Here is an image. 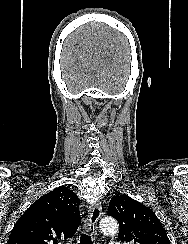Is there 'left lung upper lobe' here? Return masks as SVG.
I'll return each instance as SVG.
<instances>
[{
	"mask_svg": "<svg viewBox=\"0 0 188 244\" xmlns=\"http://www.w3.org/2000/svg\"><path fill=\"white\" fill-rule=\"evenodd\" d=\"M108 213L120 225L118 237L129 244H170L155 213L126 194L113 196Z\"/></svg>",
	"mask_w": 188,
	"mask_h": 244,
	"instance_id": "1",
	"label": "left lung upper lobe"
}]
</instances>
